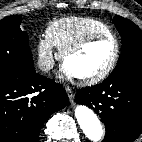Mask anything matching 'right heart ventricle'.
Returning a JSON list of instances; mask_svg holds the SVG:
<instances>
[{"label": "right heart ventricle", "mask_w": 142, "mask_h": 142, "mask_svg": "<svg viewBox=\"0 0 142 142\" xmlns=\"http://www.w3.org/2000/svg\"><path fill=\"white\" fill-rule=\"evenodd\" d=\"M94 34H112V32L105 23L89 17L61 18L52 22L46 29V37L60 52Z\"/></svg>", "instance_id": "e07e8e85"}]
</instances>
